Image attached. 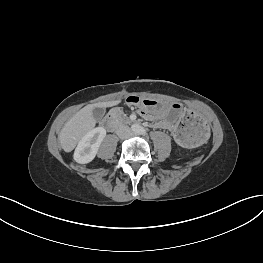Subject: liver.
<instances>
[{"label": "liver", "instance_id": "obj_1", "mask_svg": "<svg viewBox=\"0 0 263 263\" xmlns=\"http://www.w3.org/2000/svg\"><path fill=\"white\" fill-rule=\"evenodd\" d=\"M119 103L120 100L100 102L96 104H89L79 110L66 122L59 134L62 149L65 152H71L82 137L95 127L97 120L93 116L94 108L112 107Z\"/></svg>", "mask_w": 263, "mask_h": 263}]
</instances>
